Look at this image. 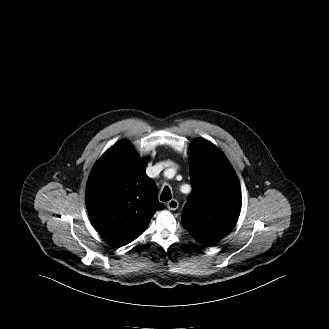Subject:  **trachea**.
I'll return each instance as SVG.
<instances>
[{
    "mask_svg": "<svg viewBox=\"0 0 329 329\" xmlns=\"http://www.w3.org/2000/svg\"><path fill=\"white\" fill-rule=\"evenodd\" d=\"M171 198H172L171 191H170L169 187L166 186L162 191V194L160 196V200L163 201V202H166V201H169Z\"/></svg>",
    "mask_w": 329,
    "mask_h": 329,
    "instance_id": "1",
    "label": "trachea"
}]
</instances>
